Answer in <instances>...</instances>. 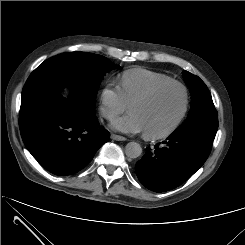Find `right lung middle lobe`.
Segmentation results:
<instances>
[{"instance_id":"dd1d6c3e","label":"right lung middle lobe","mask_w":245,"mask_h":245,"mask_svg":"<svg viewBox=\"0 0 245 245\" xmlns=\"http://www.w3.org/2000/svg\"><path fill=\"white\" fill-rule=\"evenodd\" d=\"M46 62L63 71L66 81L37 85L28 78L22 91L20 119L35 116L61 102L59 92L66 83L73 88V95L68 103L75 109V113H94L95 99L102 78L110 70L119 67L104 56L86 52L63 53L43 63Z\"/></svg>"}]
</instances>
